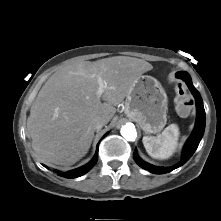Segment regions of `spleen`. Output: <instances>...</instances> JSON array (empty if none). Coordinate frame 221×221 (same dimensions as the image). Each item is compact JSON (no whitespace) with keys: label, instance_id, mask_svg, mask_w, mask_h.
Instances as JSON below:
<instances>
[{"label":"spleen","instance_id":"1","mask_svg":"<svg viewBox=\"0 0 221 221\" xmlns=\"http://www.w3.org/2000/svg\"><path fill=\"white\" fill-rule=\"evenodd\" d=\"M179 128L176 124L166 127L157 136H144L142 141L147 153L155 159H168L175 152L178 139Z\"/></svg>","mask_w":221,"mask_h":221}]
</instances>
